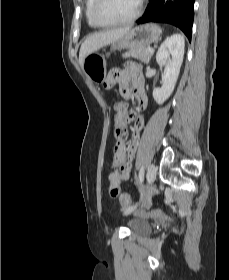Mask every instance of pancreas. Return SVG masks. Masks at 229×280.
Masks as SVG:
<instances>
[{
	"mask_svg": "<svg viewBox=\"0 0 229 280\" xmlns=\"http://www.w3.org/2000/svg\"><path fill=\"white\" fill-rule=\"evenodd\" d=\"M122 56L124 58L133 57L135 59H139L143 63H149L153 53L148 52V48H134L125 52Z\"/></svg>",
	"mask_w": 229,
	"mask_h": 280,
	"instance_id": "cf45deb5",
	"label": "pancreas"
}]
</instances>
